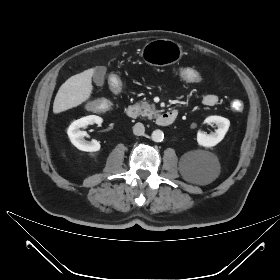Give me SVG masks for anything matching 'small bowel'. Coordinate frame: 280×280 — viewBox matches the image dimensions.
I'll list each match as a JSON object with an SVG mask.
<instances>
[{"label":"small bowel","mask_w":280,"mask_h":280,"mask_svg":"<svg viewBox=\"0 0 280 280\" xmlns=\"http://www.w3.org/2000/svg\"><path fill=\"white\" fill-rule=\"evenodd\" d=\"M218 96L214 93H209L203 96L202 103L206 107H213L218 103Z\"/></svg>","instance_id":"obj_1"}]
</instances>
